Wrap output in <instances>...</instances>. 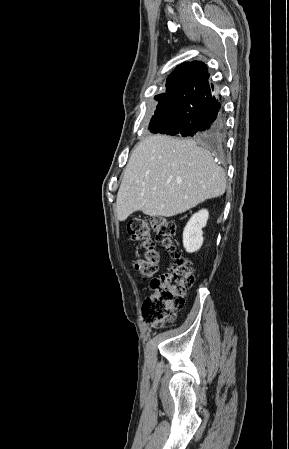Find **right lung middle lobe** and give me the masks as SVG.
Segmentation results:
<instances>
[{
    "mask_svg": "<svg viewBox=\"0 0 289 449\" xmlns=\"http://www.w3.org/2000/svg\"><path fill=\"white\" fill-rule=\"evenodd\" d=\"M159 102L155 110V114L149 123V128L152 133H158L165 125H167L173 118L171 105L168 100V94H160L155 96Z\"/></svg>",
    "mask_w": 289,
    "mask_h": 449,
    "instance_id": "1",
    "label": "right lung middle lobe"
}]
</instances>
